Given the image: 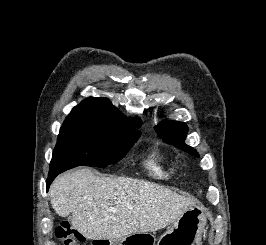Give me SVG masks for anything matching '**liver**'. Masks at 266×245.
Returning a JSON list of instances; mask_svg holds the SVG:
<instances>
[{
	"instance_id": "6515ba94",
	"label": "liver",
	"mask_w": 266,
	"mask_h": 245,
	"mask_svg": "<svg viewBox=\"0 0 266 245\" xmlns=\"http://www.w3.org/2000/svg\"><path fill=\"white\" fill-rule=\"evenodd\" d=\"M59 217L86 239L117 241L132 233H154L177 221L194 201L166 187L127 177H95L90 169L63 173L49 189ZM114 209L116 213H111Z\"/></svg>"
}]
</instances>
